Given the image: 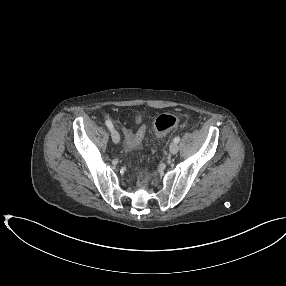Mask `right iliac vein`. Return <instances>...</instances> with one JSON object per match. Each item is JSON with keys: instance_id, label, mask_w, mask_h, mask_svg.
Wrapping results in <instances>:
<instances>
[{"instance_id": "63e3f726", "label": "right iliac vein", "mask_w": 286, "mask_h": 286, "mask_svg": "<svg viewBox=\"0 0 286 286\" xmlns=\"http://www.w3.org/2000/svg\"><path fill=\"white\" fill-rule=\"evenodd\" d=\"M111 137H112V140L115 144H118L120 142L119 133L115 129H112Z\"/></svg>"}]
</instances>
